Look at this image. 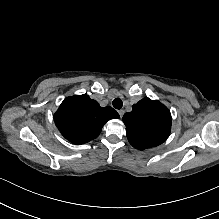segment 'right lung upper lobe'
<instances>
[{"label": "right lung upper lobe", "mask_w": 219, "mask_h": 219, "mask_svg": "<svg viewBox=\"0 0 219 219\" xmlns=\"http://www.w3.org/2000/svg\"><path fill=\"white\" fill-rule=\"evenodd\" d=\"M114 118L119 114L112 107L102 108L86 94L67 97L54 115L61 134L78 145L98 137L104 124Z\"/></svg>", "instance_id": "cb5924a9"}]
</instances>
